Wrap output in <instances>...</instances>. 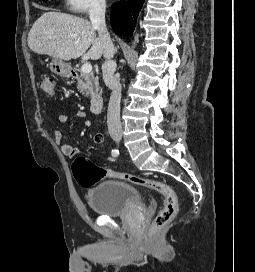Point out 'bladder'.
<instances>
[{
	"label": "bladder",
	"mask_w": 255,
	"mask_h": 272,
	"mask_svg": "<svg viewBox=\"0 0 255 272\" xmlns=\"http://www.w3.org/2000/svg\"><path fill=\"white\" fill-rule=\"evenodd\" d=\"M94 213L114 217L126 214L140 204L138 190L120 180H106L92 187L86 194Z\"/></svg>",
	"instance_id": "31cf9c89"
}]
</instances>
